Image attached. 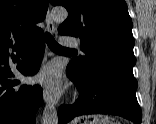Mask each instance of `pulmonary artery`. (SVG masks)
Returning <instances> with one entry per match:
<instances>
[{
  "label": "pulmonary artery",
  "instance_id": "1",
  "mask_svg": "<svg viewBox=\"0 0 156 124\" xmlns=\"http://www.w3.org/2000/svg\"><path fill=\"white\" fill-rule=\"evenodd\" d=\"M62 45L66 47H76L77 46V40L75 38H63L62 39Z\"/></svg>",
  "mask_w": 156,
  "mask_h": 124
}]
</instances>
